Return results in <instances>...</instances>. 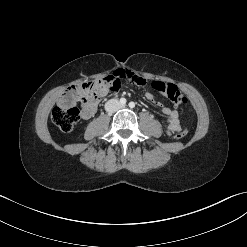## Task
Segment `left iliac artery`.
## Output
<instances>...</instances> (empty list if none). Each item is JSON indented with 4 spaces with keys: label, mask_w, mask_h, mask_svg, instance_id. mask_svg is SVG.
Here are the masks:
<instances>
[{
    "label": "left iliac artery",
    "mask_w": 247,
    "mask_h": 247,
    "mask_svg": "<svg viewBox=\"0 0 247 247\" xmlns=\"http://www.w3.org/2000/svg\"><path fill=\"white\" fill-rule=\"evenodd\" d=\"M129 107H130V108H134V107H135V103H134V102H130V103H129Z\"/></svg>",
    "instance_id": "1"
}]
</instances>
